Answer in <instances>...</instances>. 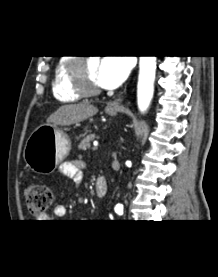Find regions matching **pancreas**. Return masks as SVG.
Wrapping results in <instances>:
<instances>
[{
	"label": "pancreas",
	"mask_w": 218,
	"mask_h": 277,
	"mask_svg": "<svg viewBox=\"0 0 218 277\" xmlns=\"http://www.w3.org/2000/svg\"><path fill=\"white\" fill-rule=\"evenodd\" d=\"M94 139H95V134H90L86 136L84 139H82V141L78 145V148L81 150H87L88 148H90L91 141H93Z\"/></svg>",
	"instance_id": "cf45deb5"
}]
</instances>
